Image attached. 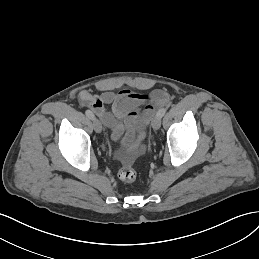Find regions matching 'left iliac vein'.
<instances>
[{"mask_svg": "<svg viewBox=\"0 0 259 259\" xmlns=\"http://www.w3.org/2000/svg\"><path fill=\"white\" fill-rule=\"evenodd\" d=\"M161 126V118L159 116H155L152 120V127L155 130H158Z\"/></svg>", "mask_w": 259, "mask_h": 259, "instance_id": "left-iliac-vein-1", "label": "left iliac vein"}]
</instances>
